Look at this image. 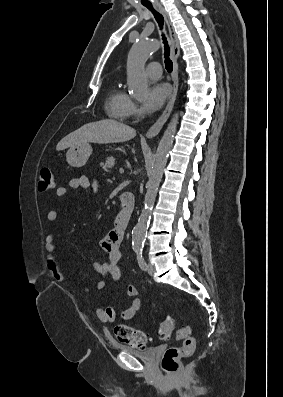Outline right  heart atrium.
<instances>
[{
  "instance_id": "obj_1",
  "label": "right heart atrium",
  "mask_w": 283,
  "mask_h": 397,
  "mask_svg": "<svg viewBox=\"0 0 283 397\" xmlns=\"http://www.w3.org/2000/svg\"><path fill=\"white\" fill-rule=\"evenodd\" d=\"M139 108L138 105L130 99L125 110V116L126 117H136L139 115Z\"/></svg>"
}]
</instances>
